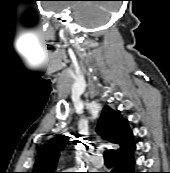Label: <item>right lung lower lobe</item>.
Returning a JSON list of instances; mask_svg holds the SVG:
<instances>
[{
  "mask_svg": "<svg viewBox=\"0 0 170 173\" xmlns=\"http://www.w3.org/2000/svg\"><path fill=\"white\" fill-rule=\"evenodd\" d=\"M135 145L132 144L127 149L114 154V169L111 173H136L134 172L135 160L133 152Z\"/></svg>",
  "mask_w": 170,
  "mask_h": 173,
  "instance_id": "1",
  "label": "right lung lower lobe"
}]
</instances>
